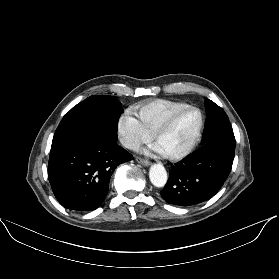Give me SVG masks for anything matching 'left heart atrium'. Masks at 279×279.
I'll return each mask as SVG.
<instances>
[{
    "label": "left heart atrium",
    "instance_id": "obj_1",
    "mask_svg": "<svg viewBox=\"0 0 279 279\" xmlns=\"http://www.w3.org/2000/svg\"><path fill=\"white\" fill-rule=\"evenodd\" d=\"M153 150L160 155H166L164 150L158 144L153 147Z\"/></svg>",
    "mask_w": 279,
    "mask_h": 279
}]
</instances>
